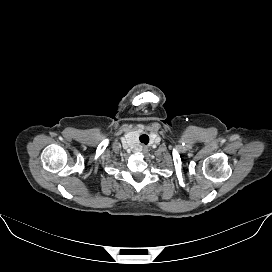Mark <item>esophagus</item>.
<instances>
[{
  "instance_id": "1",
  "label": "esophagus",
  "mask_w": 272,
  "mask_h": 272,
  "mask_svg": "<svg viewBox=\"0 0 272 272\" xmlns=\"http://www.w3.org/2000/svg\"><path fill=\"white\" fill-rule=\"evenodd\" d=\"M143 150L145 151V150H146V147H144Z\"/></svg>"
}]
</instances>
